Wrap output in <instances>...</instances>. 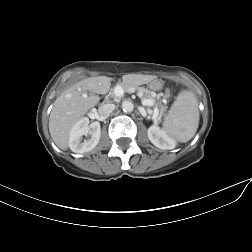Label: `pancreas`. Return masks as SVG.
I'll return each mask as SVG.
<instances>
[{
    "label": "pancreas",
    "instance_id": "pancreas-1",
    "mask_svg": "<svg viewBox=\"0 0 252 252\" xmlns=\"http://www.w3.org/2000/svg\"><path fill=\"white\" fill-rule=\"evenodd\" d=\"M134 89H136V87ZM112 96H113L114 100H119L120 99L118 96L115 95L114 91L112 92Z\"/></svg>",
    "mask_w": 252,
    "mask_h": 252
}]
</instances>
